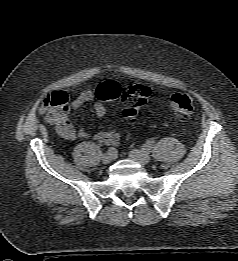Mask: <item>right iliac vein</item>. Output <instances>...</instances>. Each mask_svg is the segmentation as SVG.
<instances>
[{
    "label": "right iliac vein",
    "mask_w": 238,
    "mask_h": 261,
    "mask_svg": "<svg viewBox=\"0 0 238 261\" xmlns=\"http://www.w3.org/2000/svg\"><path fill=\"white\" fill-rule=\"evenodd\" d=\"M115 158V155L110 156L108 154V152H106L103 156H102V161L104 164H109L113 159Z\"/></svg>",
    "instance_id": "63e3f726"
}]
</instances>
